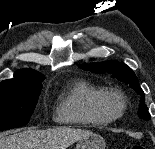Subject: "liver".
Returning a JSON list of instances; mask_svg holds the SVG:
<instances>
[{"instance_id": "obj_1", "label": "liver", "mask_w": 155, "mask_h": 149, "mask_svg": "<svg viewBox=\"0 0 155 149\" xmlns=\"http://www.w3.org/2000/svg\"><path fill=\"white\" fill-rule=\"evenodd\" d=\"M90 133L88 130L69 127L45 131L28 129L0 138V149H67Z\"/></svg>"}]
</instances>
